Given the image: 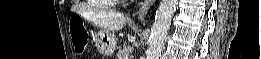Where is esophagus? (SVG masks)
<instances>
[{"instance_id":"obj_1","label":"esophagus","mask_w":261,"mask_h":59,"mask_svg":"<svg viewBox=\"0 0 261 59\" xmlns=\"http://www.w3.org/2000/svg\"><path fill=\"white\" fill-rule=\"evenodd\" d=\"M153 3H154V0H144L141 3L139 11H138V19L140 21H142L143 23H145L147 13H148L149 9L152 7Z\"/></svg>"}]
</instances>
